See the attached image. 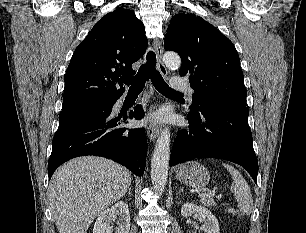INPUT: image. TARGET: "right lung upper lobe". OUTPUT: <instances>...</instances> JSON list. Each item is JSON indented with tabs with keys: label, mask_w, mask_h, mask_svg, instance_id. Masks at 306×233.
Instances as JSON below:
<instances>
[{
	"label": "right lung upper lobe",
	"mask_w": 306,
	"mask_h": 233,
	"mask_svg": "<svg viewBox=\"0 0 306 233\" xmlns=\"http://www.w3.org/2000/svg\"><path fill=\"white\" fill-rule=\"evenodd\" d=\"M147 45L144 25L133 11L120 7L106 14L71 58L63 105L116 102L125 91L118 77L135 74L132 63L142 57Z\"/></svg>",
	"instance_id": "right-lung-upper-lobe-1"
}]
</instances>
